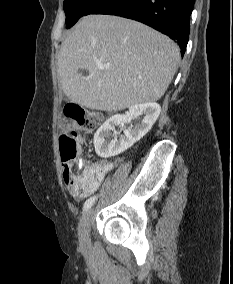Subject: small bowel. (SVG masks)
Segmentation results:
<instances>
[{
  "label": "small bowel",
  "mask_w": 233,
  "mask_h": 284,
  "mask_svg": "<svg viewBox=\"0 0 233 284\" xmlns=\"http://www.w3.org/2000/svg\"><path fill=\"white\" fill-rule=\"evenodd\" d=\"M85 160L81 158L79 162H84ZM114 164L108 161H101L95 163H89L84 167V171L90 174L94 181V189L95 191L99 185L104 181L106 176L113 169ZM92 191V192H93Z\"/></svg>",
  "instance_id": "1"
}]
</instances>
